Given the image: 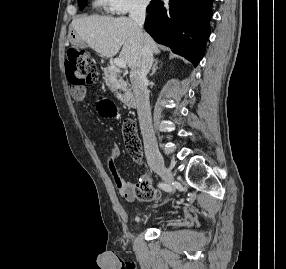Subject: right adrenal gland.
Instances as JSON below:
<instances>
[{
  "label": "right adrenal gland",
  "instance_id": "2a0ac1e0",
  "mask_svg": "<svg viewBox=\"0 0 286 269\" xmlns=\"http://www.w3.org/2000/svg\"><path fill=\"white\" fill-rule=\"evenodd\" d=\"M157 64H158V60L155 59L154 60V64L152 66V71H151V74H150L151 76H153L155 74L156 70L158 69Z\"/></svg>",
  "mask_w": 286,
  "mask_h": 269
}]
</instances>
